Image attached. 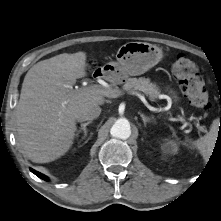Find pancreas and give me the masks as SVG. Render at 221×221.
Masks as SVG:
<instances>
[{
  "label": "pancreas",
  "instance_id": "pancreas-1",
  "mask_svg": "<svg viewBox=\"0 0 221 221\" xmlns=\"http://www.w3.org/2000/svg\"><path fill=\"white\" fill-rule=\"evenodd\" d=\"M123 91L131 92L135 90L142 91L145 93L150 100H155L159 95V89L156 84L151 83L150 79L140 77V78H128L122 87ZM117 93H121L118 88L114 89Z\"/></svg>",
  "mask_w": 221,
  "mask_h": 221
}]
</instances>
